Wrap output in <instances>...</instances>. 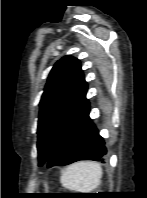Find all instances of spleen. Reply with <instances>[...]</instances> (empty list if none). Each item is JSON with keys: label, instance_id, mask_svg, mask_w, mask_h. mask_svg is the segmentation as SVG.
Returning a JSON list of instances; mask_svg holds the SVG:
<instances>
[{"label": "spleen", "instance_id": "3e777b00", "mask_svg": "<svg viewBox=\"0 0 147 198\" xmlns=\"http://www.w3.org/2000/svg\"><path fill=\"white\" fill-rule=\"evenodd\" d=\"M102 168L96 162H77L62 171L61 184L77 193H91L99 184Z\"/></svg>", "mask_w": 147, "mask_h": 198}]
</instances>
